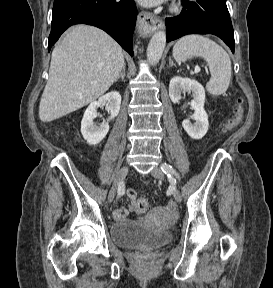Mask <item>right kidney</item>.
<instances>
[{
	"label": "right kidney",
	"instance_id": "ca27d5eb",
	"mask_svg": "<svg viewBox=\"0 0 273 288\" xmlns=\"http://www.w3.org/2000/svg\"><path fill=\"white\" fill-rule=\"evenodd\" d=\"M120 105L121 95L112 91L88 106L81 121V133L89 145H97L105 138L109 131V121L119 114ZM101 106H107L110 117L102 124L96 125L94 119L97 117V109Z\"/></svg>",
	"mask_w": 273,
	"mask_h": 288
}]
</instances>
